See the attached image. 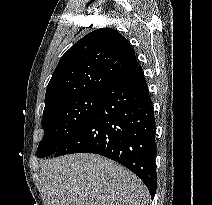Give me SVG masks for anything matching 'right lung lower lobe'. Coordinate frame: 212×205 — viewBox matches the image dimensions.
Instances as JSON below:
<instances>
[{"label":"right lung lower lobe","mask_w":212,"mask_h":205,"mask_svg":"<svg viewBox=\"0 0 212 205\" xmlns=\"http://www.w3.org/2000/svg\"><path fill=\"white\" fill-rule=\"evenodd\" d=\"M141 66L121 74L101 91V100L71 138L54 154L94 153L133 171L151 198L157 187L155 118Z\"/></svg>","instance_id":"1"}]
</instances>
